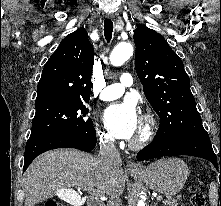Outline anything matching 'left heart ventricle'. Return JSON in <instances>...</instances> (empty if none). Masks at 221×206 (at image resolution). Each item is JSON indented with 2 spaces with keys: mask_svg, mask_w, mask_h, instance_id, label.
I'll return each instance as SVG.
<instances>
[{
  "mask_svg": "<svg viewBox=\"0 0 221 206\" xmlns=\"http://www.w3.org/2000/svg\"><path fill=\"white\" fill-rule=\"evenodd\" d=\"M142 128H143V127H142V123H141V124H140V128H139V131H138V133L136 134V136L134 137V139L140 136L141 131H142Z\"/></svg>",
  "mask_w": 221,
  "mask_h": 206,
  "instance_id": "left-heart-ventricle-1",
  "label": "left heart ventricle"
}]
</instances>
